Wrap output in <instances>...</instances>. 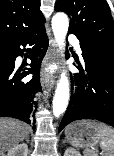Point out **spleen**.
<instances>
[{"label": "spleen", "instance_id": "obj_1", "mask_svg": "<svg viewBox=\"0 0 114 156\" xmlns=\"http://www.w3.org/2000/svg\"><path fill=\"white\" fill-rule=\"evenodd\" d=\"M87 125H93L100 136V147L104 156H114V129L104 123L87 122ZM85 156H94L92 151L85 150Z\"/></svg>", "mask_w": 114, "mask_h": 156}]
</instances>
